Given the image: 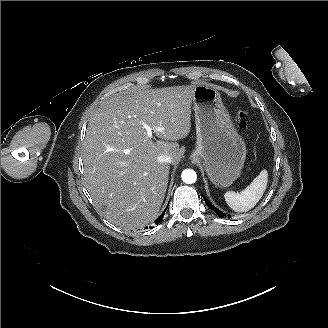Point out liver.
Returning <instances> with one entry per match:
<instances>
[{"instance_id": "6515ba94", "label": "liver", "mask_w": 328, "mask_h": 328, "mask_svg": "<svg viewBox=\"0 0 328 328\" xmlns=\"http://www.w3.org/2000/svg\"><path fill=\"white\" fill-rule=\"evenodd\" d=\"M195 88L132 89L107 99L91 116L84 179L96 208L112 224L134 229L159 212L170 164L158 157L168 154L173 165L179 162V145L173 141L192 131ZM147 128L160 140L154 141Z\"/></svg>"}]
</instances>
